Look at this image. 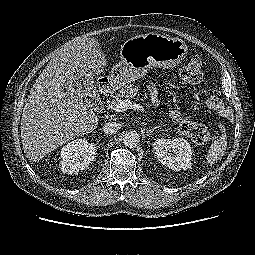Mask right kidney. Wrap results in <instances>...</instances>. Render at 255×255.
Here are the masks:
<instances>
[{
  "mask_svg": "<svg viewBox=\"0 0 255 255\" xmlns=\"http://www.w3.org/2000/svg\"><path fill=\"white\" fill-rule=\"evenodd\" d=\"M96 147L85 138L76 139L61 149L60 166L63 173L76 174L87 169L96 155Z\"/></svg>",
  "mask_w": 255,
  "mask_h": 255,
  "instance_id": "ca27d5eb",
  "label": "right kidney"
}]
</instances>
